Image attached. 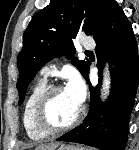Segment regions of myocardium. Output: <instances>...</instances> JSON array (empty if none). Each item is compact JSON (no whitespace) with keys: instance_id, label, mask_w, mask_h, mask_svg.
<instances>
[{"instance_id":"1","label":"myocardium","mask_w":139,"mask_h":150,"mask_svg":"<svg viewBox=\"0 0 139 150\" xmlns=\"http://www.w3.org/2000/svg\"><path fill=\"white\" fill-rule=\"evenodd\" d=\"M62 89H65V87L59 84L47 85V87L43 90V92L41 93V95L39 96L36 102L34 108V115H33L34 124L39 131L45 134L50 135V134H56V133H61V132L71 130L81 122L84 116L85 109L84 106L81 105L77 115L70 123L64 126H55L48 122L46 118L47 105L52 95L55 92L60 91Z\"/></svg>"}]
</instances>
